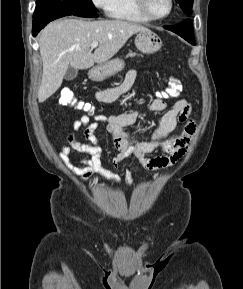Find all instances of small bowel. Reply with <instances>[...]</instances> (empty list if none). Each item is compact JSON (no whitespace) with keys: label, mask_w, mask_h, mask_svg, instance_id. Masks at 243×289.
Masks as SVG:
<instances>
[{"label":"small bowel","mask_w":243,"mask_h":289,"mask_svg":"<svg viewBox=\"0 0 243 289\" xmlns=\"http://www.w3.org/2000/svg\"><path fill=\"white\" fill-rule=\"evenodd\" d=\"M138 72L130 70L125 75L123 81L112 88L100 90L96 93L95 99L99 103H111L127 92L137 78ZM167 104L161 98L157 97L149 103L147 110L153 113H159L166 109ZM139 111H130L118 115H94V120H90L89 115H82L72 123L74 130H82L85 139L89 144L79 143L71 131H67L65 138L67 146L60 150L62 160L69 169L78 174L82 181H87L94 173H102L112 182L118 183L120 177L105 169L102 164L103 150L99 140L95 135L101 125H104L111 137V141L117 153L112 157L111 163L117 168L124 159L134 157L147 170L156 171L168 168L178 163L186 154L188 145L196 131V125L191 119V105L182 98L167 110L159 120L157 126L147 135H141L137 139H132L127 132V128L135 124L139 117ZM178 122L184 124L182 132L175 137L167 138ZM75 150L81 153H87L91 157L87 160H81L75 165L71 159V151ZM154 152H162L163 156L151 157ZM127 180L130 181L131 171L126 172Z\"/></svg>","instance_id":"1"}]
</instances>
